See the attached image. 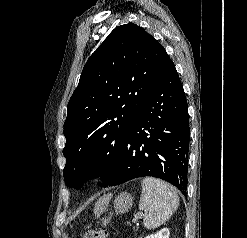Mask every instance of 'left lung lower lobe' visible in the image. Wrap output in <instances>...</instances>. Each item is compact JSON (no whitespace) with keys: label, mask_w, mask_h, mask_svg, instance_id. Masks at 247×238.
I'll use <instances>...</instances> for the list:
<instances>
[{"label":"left lung lower lobe","mask_w":247,"mask_h":238,"mask_svg":"<svg viewBox=\"0 0 247 238\" xmlns=\"http://www.w3.org/2000/svg\"><path fill=\"white\" fill-rule=\"evenodd\" d=\"M190 127L182 83L168 57L150 95L133 121L107 186L138 177L187 188Z\"/></svg>","instance_id":"obj_1"}]
</instances>
